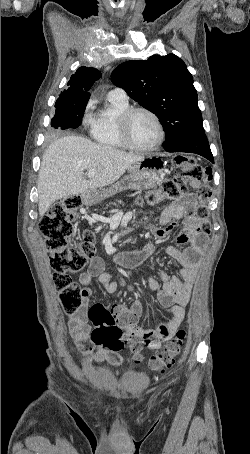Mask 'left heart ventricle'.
I'll use <instances>...</instances> for the list:
<instances>
[{"instance_id":"obj_1","label":"left heart ventricle","mask_w":250,"mask_h":454,"mask_svg":"<svg viewBox=\"0 0 250 454\" xmlns=\"http://www.w3.org/2000/svg\"><path fill=\"white\" fill-rule=\"evenodd\" d=\"M130 135L135 145L149 147L158 139L159 133L152 117L137 113L130 122Z\"/></svg>"}]
</instances>
